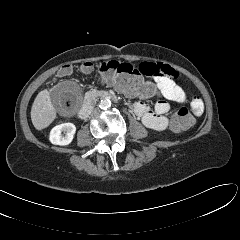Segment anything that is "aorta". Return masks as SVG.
<instances>
[{
  "label": "aorta",
  "instance_id": "aorta-1",
  "mask_svg": "<svg viewBox=\"0 0 240 240\" xmlns=\"http://www.w3.org/2000/svg\"><path fill=\"white\" fill-rule=\"evenodd\" d=\"M109 107H111V101L110 99L108 98H105V99H102L99 103V108L100 109H103V110H106L108 109Z\"/></svg>",
  "mask_w": 240,
  "mask_h": 240
}]
</instances>
